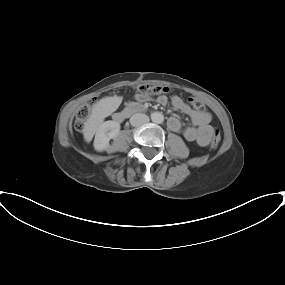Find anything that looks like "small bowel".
I'll return each instance as SVG.
<instances>
[{
  "mask_svg": "<svg viewBox=\"0 0 285 285\" xmlns=\"http://www.w3.org/2000/svg\"><path fill=\"white\" fill-rule=\"evenodd\" d=\"M136 102H145L149 97H144L139 94L135 96ZM167 101L165 96H160L158 102L165 104ZM172 105L182 113L186 114L193 126H189L184 129L183 136L189 142H196L200 146H207L211 142L212 127L210 126L211 115L205 111H197L191 108L180 97L174 96L172 98ZM168 127L173 132H179L181 130V122L176 117H171L168 120Z\"/></svg>",
  "mask_w": 285,
  "mask_h": 285,
  "instance_id": "obj_1",
  "label": "small bowel"
}]
</instances>
